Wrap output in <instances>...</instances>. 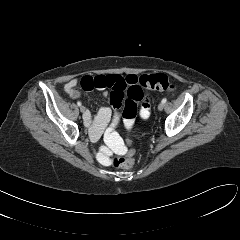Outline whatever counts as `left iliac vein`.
Listing matches in <instances>:
<instances>
[{"mask_svg": "<svg viewBox=\"0 0 240 240\" xmlns=\"http://www.w3.org/2000/svg\"><path fill=\"white\" fill-rule=\"evenodd\" d=\"M163 108H164V104H163V103H160V104L158 105V110H159V111H162Z\"/></svg>", "mask_w": 240, "mask_h": 240, "instance_id": "left-iliac-vein-1", "label": "left iliac vein"}]
</instances>
